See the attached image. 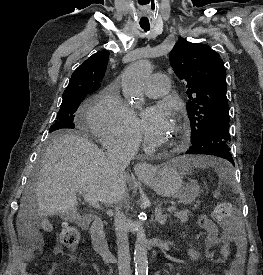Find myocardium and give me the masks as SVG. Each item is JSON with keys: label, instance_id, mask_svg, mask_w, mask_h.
<instances>
[{"label": "myocardium", "instance_id": "f54148a6", "mask_svg": "<svg viewBox=\"0 0 263 275\" xmlns=\"http://www.w3.org/2000/svg\"><path fill=\"white\" fill-rule=\"evenodd\" d=\"M175 127L177 132L176 137L171 143L168 144V148L172 150L178 149L183 146V144L187 140L188 133L186 127L180 122H176Z\"/></svg>", "mask_w": 263, "mask_h": 275}]
</instances>
